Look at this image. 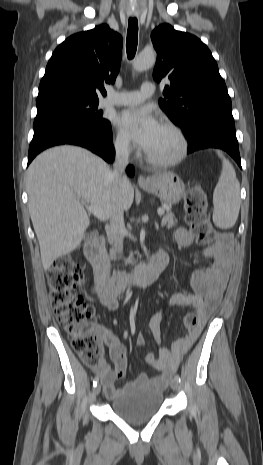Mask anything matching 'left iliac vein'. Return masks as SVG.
<instances>
[{
    "instance_id": "left-iliac-vein-1",
    "label": "left iliac vein",
    "mask_w": 263,
    "mask_h": 465,
    "mask_svg": "<svg viewBox=\"0 0 263 465\" xmlns=\"http://www.w3.org/2000/svg\"><path fill=\"white\" fill-rule=\"evenodd\" d=\"M170 386L173 390H178L179 388V382L176 379H172L170 382Z\"/></svg>"
}]
</instances>
